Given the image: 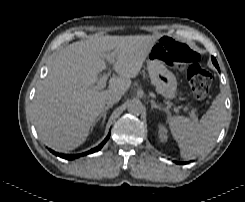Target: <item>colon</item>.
<instances>
[{
	"mask_svg": "<svg viewBox=\"0 0 245 202\" xmlns=\"http://www.w3.org/2000/svg\"><path fill=\"white\" fill-rule=\"evenodd\" d=\"M159 49L165 60L186 74L193 94L197 98H204L208 94L212 78L200 67L198 53L169 36L160 38Z\"/></svg>",
	"mask_w": 245,
	"mask_h": 202,
	"instance_id": "5ec220e1",
	"label": "colon"
}]
</instances>
